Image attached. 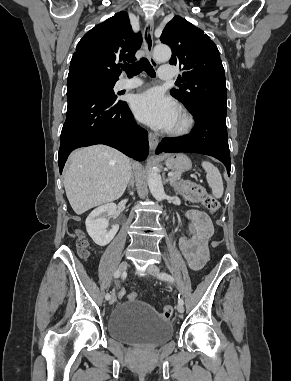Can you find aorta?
<instances>
[{"label": "aorta", "instance_id": "obj_1", "mask_svg": "<svg viewBox=\"0 0 291 381\" xmlns=\"http://www.w3.org/2000/svg\"><path fill=\"white\" fill-rule=\"evenodd\" d=\"M153 55L157 61H168L171 57V49L167 45L159 44L154 47ZM147 178L151 194L156 200L162 201L165 192L160 175L155 170H151Z\"/></svg>", "mask_w": 291, "mask_h": 381}]
</instances>
